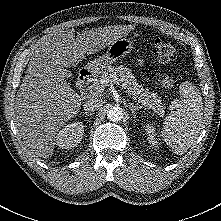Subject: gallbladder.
<instances>
[{"mask_svg": "<svg viewBox=\"0 0 221 221\" xmlns=\"http://www.w3.org/2000/svg\"><path fill=\"white\" fill-rule=\"evenodd\" d=\"M62 74L65 78H70L71 77V73L65 68L62 69Z\"/></svg>", "mask_w": 221, "mask_h": 221, "instance_id": "1", "label": "gallbladder"}]
</instances>
